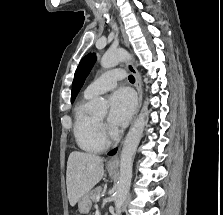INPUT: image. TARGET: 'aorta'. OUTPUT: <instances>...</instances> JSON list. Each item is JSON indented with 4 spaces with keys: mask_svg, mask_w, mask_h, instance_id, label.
Listing matches in <instances>:
<instances>
[{
    "mask_svg": "<svg viewBox=\"0 0 223 215\" xmlns=\"http://www.w3.org/2000/svg\"><path fill=\"white\" fill-rule=\"evenodd\" d=\"M128 56L123 48H116V50H108L101 58L102 68H114L119 62H126ZM93 104L97 113L105 115L107 113L108 104L106 100L100 98V100H93ZM147 106L144 104L141 113L136 117L130 131L126 135V139L123 143L121 155H120V175L118 179V187L114 197V203L116 209H121L124 201H126L127 193L129 191L131 179H132V165L133 155L137 149V145L142 137L144 125H145V113L144 109Z\"/></svg>",
    "mask_w": 223,
    "mask_h": 215,
    "instance_id": "aorta-1",
    "label": "aorta"
}]
</instances>
